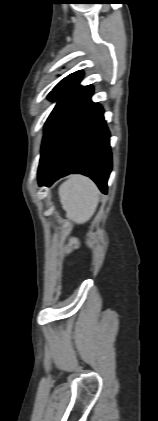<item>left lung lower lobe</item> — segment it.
Listing matches in <instances>:
<instances>
[{"label": "left lung lower lobe", "mask_w": 158, "mask_h": 421, "mask_svg": "<svg viewBox=\"0 0 158 421\" xmlns=\"http://www.w3.org/2000/svg\"><path fill=\"white\" fill-rule=\"evenodd\" d=\"M92 94L91 85L82 87L46 127L38 169L40 186L80 173L107 193L112 168L110 134L102 107L90 100Z\"/></svg>", "instance_id": "left-lung-lower-lobe-1"}]
</instances>
